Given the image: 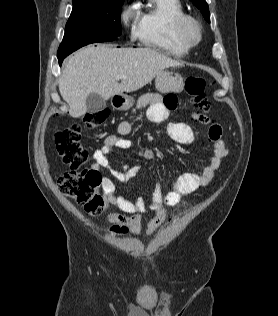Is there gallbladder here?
<instances>
[{"label":"gallbladder","instance_id":"gallbladder-1","mask_svg":"<svg viewBox=\"0 0 278 316\" xmlns=\"http://www.w3.org/2000/svg\"><path fill=\"white\" fill-rule=\"evenodd\" d=\"M87 112L92 114L102 111L106 107V101L97 93H90L86 98Z\"/></svg>","mask_w":278,"mask_h":316}]
</instances>
